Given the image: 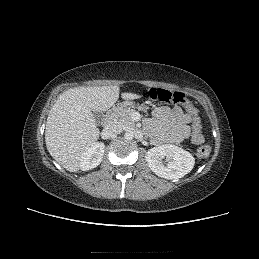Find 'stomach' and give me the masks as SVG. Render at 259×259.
Listing matches in <instances>:
<instances>
[{
    "label": "stomach",
    "instance_id": "stomach-1",
    "mask_svg": "<svg viewBox=\"0 0 259 259\" xmlns=\"http://www.w3.org/2000/svg\"><path fill=\"white\" fill-rule=\"evenodd\" d=\"M123 106H137L139 109H141V110H146L147 109V107L146 106H144V105H136L135 104V102L134 101H126V102H124L123 104H122Z\"/></svg>",
    "mask_w": 259,
    "mask_h": 259
}]
</instances>
